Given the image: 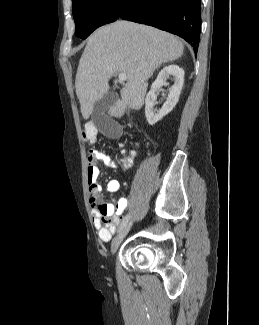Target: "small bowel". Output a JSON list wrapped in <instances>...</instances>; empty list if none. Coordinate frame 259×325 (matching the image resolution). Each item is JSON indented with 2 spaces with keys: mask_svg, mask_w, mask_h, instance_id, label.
I'll return each mask as SVG.
<instances>
[{
  "mask_svg": "<svg viewBox=\"0 0 259 325\" xmlns=\"http://www.w3.org/2000/svg\"><path fill=\"white\" fill-rule=\"evenodd\" d=\"M137 156V145L134 143L127 155L119 162L112 161L108 155L97 150H91L88 156L87 179L90 192V202L93 204V223L97 230L98 237L103 242H108L115 233L121 222V215L127 207L128 201L121 197L118 201L107 203L100 200L101 186L98 182L100 175L99 165L116 168L120 166L128 169L134 163ZM109 192H117L120 189V182L111 179L106 186Z\"/></svg>",
  "mask_w": 259,
  "mask_h": 325,
  "instance_id": "obj_1",
  "label": "small bowel"
}]
</instances>
